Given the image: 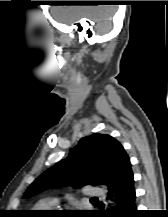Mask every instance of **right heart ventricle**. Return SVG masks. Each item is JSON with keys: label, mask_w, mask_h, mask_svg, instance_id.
<instances>
[{"label": "right heart ventricle", "mask_w": 168, "mask_h": 217, "mask_svg": "<svg viewBox=\"0 0 168 217\" xmlns=\"http://www.w3.org/2000/svg\"><path fill=\"white\" fill-rule=\"evenodd\" d=\"M52 205H53V203L50 201H41L35 206V209H37V210L48 209Z\"/></svg>", "instance_id": "e07e8e85"}]
</instances>
